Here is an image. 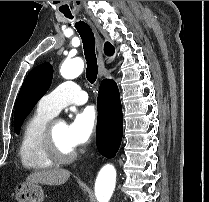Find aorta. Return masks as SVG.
I'll return each mask as SVG.
<instances>
[{
    "label": "aorta",
    "mask_w": 209,
    "mask_h": 202,
    "mask_svg": "<svg viewBox=\"0 0 209 202\" xmlns=\"http://www.w3.org/2000/svg\"><path fill=\"white\" fill-rule=\"evenodd\" d=\"M84 69L81 58L67 59L60 68V74L65 79L78 77ZM116 184V169L111 164L104 165L98 173L95 182V196L98 202H109Z\"/></svg>",
    "instance_id": "762f6f07"
}]
</instances>
